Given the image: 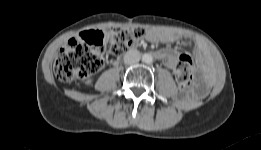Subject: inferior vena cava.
Masks as SVG:
<instances>
[{"mask_svg": "<svg viewBox=\"0 0 261 150\" xmlns=\"http://www.w3.org/2000/svg\"><path fill=\"white\" fill-rule=\"evenodd\" d=\"M141 54L136 49H131L124 55V63L128 65L136 64L139 62Z\"/></svg>", "mask_w": 261, "mask_h": 150, "instance_id": "inferior-vena-cava-1", "label": "inferior vena cava"}]
</instances>
